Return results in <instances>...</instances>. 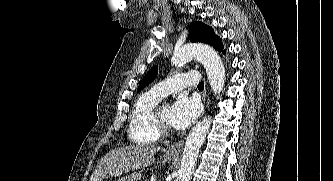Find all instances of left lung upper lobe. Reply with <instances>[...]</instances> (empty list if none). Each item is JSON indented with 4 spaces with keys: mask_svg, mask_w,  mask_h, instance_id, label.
Segmentation results:
<instances>
[{
    "mask_svg": "<svg viewBox=\"0 0 333 181\" xmlns=\"http://www.w3.org/2000/svg\"><path fill=\"white\" fill-rule=\"evenodd\" d=\"M188 38L192 42L207 43L212 45L217 50L222 51L223 53L225 52V50H223L221 39L217 35H215L211 27L203 24L202 22H193L191 24ZM157 73H158V67L157 66L152 67L140 82L137 91L139 92L149 83H151L157 76Z\"/></svg>",
    "mask_w": 333,
    "mask_h": 181,
    "instance_id": "1",
    "label": "left lung upper lobe"
}]
</instances>
